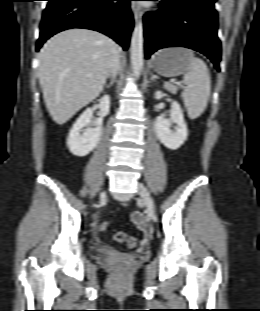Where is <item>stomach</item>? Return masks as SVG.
<instances>
[{
  "mask_svg": "<svg viewBox=\"0 0 260 311\" xmlns=\"http://www.w3.org/2000/svg\"><path fill=\"white\" fill-rule=\"evenodd\" d=\"M193 53L185 48L171 47L158 51L151 59L150 66L164 77H175L189 71Z\"/></svg>",
  "mask_w": 260,
  "mask_h": 311,
  "instance_id": "stomach-1",
  "label": "stomach"
}]
</instances>
